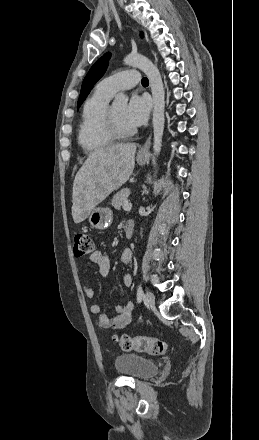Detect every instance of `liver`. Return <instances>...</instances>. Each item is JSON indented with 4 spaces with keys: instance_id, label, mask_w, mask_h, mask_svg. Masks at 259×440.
<instances>
[{
    "instance_id": "liver-1",
    "label": "liver",
    "mask_w": 259,
    "mask_h": 440,
    "mask_svg": "<svg viewBox=\"0 0 259 440\" xmlns=\"http://www.w3.org/2000/svg\"><path fill=\"white\" fill-rule=\"evenodd\" d=\"M136 144L125 143L91 152L77 172L72 192V217L84 221L111 192L130 178L135 166Z\"/></svg>"
}]
</instances>
